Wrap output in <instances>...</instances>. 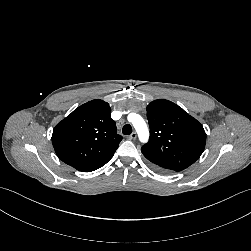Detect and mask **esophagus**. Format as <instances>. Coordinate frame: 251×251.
<instances>
[{
  "label": "esophagus",
  "mask_w": 251,
  "mask_h": 251,
  "mask_svg": "<svg viewBox=\"0 0 251 251\" xmlns=\"http://www.w3.org/2000/svg\"><path fill=\"white\" fill-rule=\"evenodd\" d=\"M130 140H135L137 138V134L136 132H132L129 137H128Z\"/></svg>",
  "instance_id": "obj_1"
}]
</instances>
